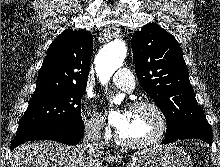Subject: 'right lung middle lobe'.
Listing matches in <instances>:
<instances>
[{"label":"right lung middle lobe","instance_id":"obj_1","mask_svg":"<svg viewBox=\"0 0 220 167\" xmlns=\"http://www.w3.org/2000/svg\"><path fill=\"white\" fill-rule=\"evenodd\" d=\"M85 87H68L52 94L32 98L19 122L16 135L43 129L82 126L81 99Z\"/></svg>","mask_w":220,"mask_h":167}]
</instances>
